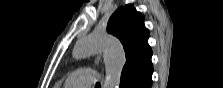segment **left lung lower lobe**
Wrapping results in <instances>:
<instances>
[{
	"instance_id": "obj_1",
	"label": "left lung lower lobe",
	"mask_w": 223,
	"mask_h": 88,
	"mask_svg": "<svg viewBox=\"0 0 223 88\" xmlns=\"http://www.w3.org/2000/svg\"><path fill=\"white\" fill-rule=\"evenodd\" d=\"M153 65L149 62L144 68L132 70L121 76L120 88H150Z\"/></svg>"
}]
</instances>
